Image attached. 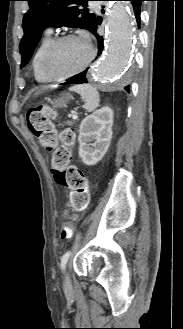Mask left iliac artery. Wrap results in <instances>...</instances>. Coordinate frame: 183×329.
<instances>
[{
  "label": "left iliac artery",
  "mask_w": 183,
  "mask_h": 329,
  "mask_svg": "<svg viewBox=\"0 0 183 329\" xmlns=\"http://www.w3.org/2000/svg\"><path fill=\"white\" fill-rule=\"evenodd\" d=\"M70 254H71V251H67L61 258V268H62L63 271L66 267V264H67V261L69 259Z\"/></svg>",
  "instance_id": "44dca946"
}]
</instances>
